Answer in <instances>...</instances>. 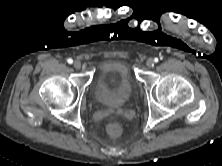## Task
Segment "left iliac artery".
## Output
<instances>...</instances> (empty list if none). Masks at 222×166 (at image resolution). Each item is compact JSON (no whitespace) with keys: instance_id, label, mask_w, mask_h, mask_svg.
Segmentation results:
<instances>
[{"instance_id":"1","label":"left iliac artery","mask_w":222,"mask_h":166,"mask_svg":"<svg viewBox=\"0 0 222 166\" xmlns=\"http://www.w3.org/2000/svg\"><path fill=\"white\" fill-rule=\"evenodd\" d=\"M158 61H159V60H158V58H155V59H154V62H156V63H157Z\"/></svg>"}]
</instances>
